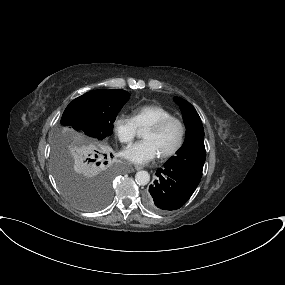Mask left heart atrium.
I'll return each instance as SVG.
<instances>
[{
    "label": "left heart atrium",
    "mask_w": 285,
    "mask_h": 285,
    "mask_svg": "<svg viewBox=\"0 0 285 285\" xmlns=\"http://www.w3.org/2000/svg\"><path fill=\"white\" fill-rule=\"evenodd\" d=\"M121 155L135 165H145L159 156V153L151 141H139L125 148Z\"/></svg>",
    "instance_id": "left-heart-atrium-1"
}]
</instances>
